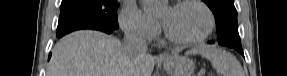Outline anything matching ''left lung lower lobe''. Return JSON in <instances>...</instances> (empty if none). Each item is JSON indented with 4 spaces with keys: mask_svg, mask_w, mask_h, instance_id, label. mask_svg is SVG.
<instances>
[{
    "mask_svg": "<svg viewBox=\"0 0 287 76\" xmlns=\"http://www.w3.org/2000/svg\"><path fill=\"white\" fill-rule=\"evenodd\" d=\"M231 48H234V49L237 50L239 53H241L242 55H244L243 52H242V47H241V46H231Z\"/></svg>",
    "mask_w": 287,
    "mask_h": 76,
    "instance_id": "1",
    "label": "left lung lower lobe"
}]
</instances>
